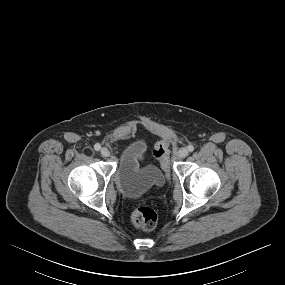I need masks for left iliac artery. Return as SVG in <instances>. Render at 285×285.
Returning <instances> with one entry per match:
<instances>
[{
  "instance_id": "1",
  "label": "left iliac artery",
  "mask_w": 285,
  "mask_h": 285,
  "mask_svg": "<svg viewBox=\"0 0 285 285\" xmlns=\"http://www.w3.org/2000/svg\"><path fill=\"white\" fill-rule=\"evenodd\" d=\"M188 151L189 152H193L194 151V146L193 145H189L188 146Z\"/></svg>"
}]
</instances>
